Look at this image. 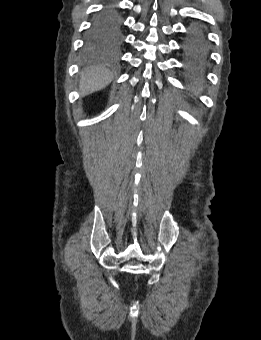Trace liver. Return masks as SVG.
I'll use <instances>...</instances> for the list:
<instances>
[{"instance_id": "1", "label": "liver", "mask_w": 261, "mask_h": 340, "mask_svg": "<svg viewBox=\"0 0 261 340\" xmlns=\"http://www.w3.org/2000/svg\"><path fill=\"white\" fill-rule=\"evenodd\" d=\"M112 80V74L103 67H89L82 72L80 91L83 95L105 88Z\"/></svg>"}]
</instances>
